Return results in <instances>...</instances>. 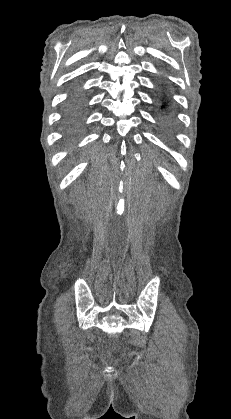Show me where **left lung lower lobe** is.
I'll list each match as a JSON object with an SVG mask.
<instances>
[{"label":"left lung lower lobe","instance_id":"1","mask_svg":"<svg viewBox=\"0 0 231 419\" xmlns=\"http://www.w3.org/2000/svg\"><path fill=\"white\" fill-rule=\"evenodd\" d=\"M164 112L166 113V115H167V111L166 110H164Z\"/></svg>","mask_w":231,"mask_h":419}]
</instances>
